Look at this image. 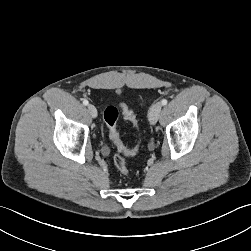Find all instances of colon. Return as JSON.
<instances>
[{
  "label": "colon",
  "mask_w": 251,
  "mask_h": 251,
  "mask_svg": "<svg viewBox=\"0 0 251 251\" xmlns=\"http://www.w3.org/2000/svg\"><path fill=\"white\" fill-rule=\"evenodd\" d=\"M120 108L122 110L124 118L133 127H137V119L134 112L126 104H121ZM118 115H119V112L115 106H108L104 111V121L108 127L110 139L112 140V142L115 144V146L120 152H122L123 154L127 156H133L138 152L139 145H137L134 148H127L124 146L122 140L120 139L119 133L116 129V122L118 119ZM113 163L116 169L122 175H128L129 169L126 165L125 159L121 155L119 154L114 155Z\"/></svg>",
  "instance_id": "5ec220e1"
}]
</instances>
